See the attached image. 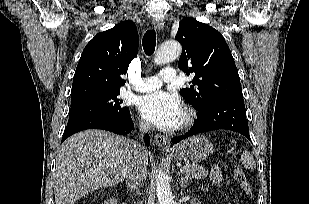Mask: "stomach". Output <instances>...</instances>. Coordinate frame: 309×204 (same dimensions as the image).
I'll return each instance as SVG.
<instances>
[{"instance_id": "stomach-1", "label": "stomach", "mask_w": 309, "mask_h": 204, "mask_svg": "<svg viewBox=\"0 0 309 204\" xmlns=\"http://www.w3.org/2000/svg\"><path fill=\"white\" fill-rule=\"evenodd\" d=\"M169 152L176 159L194 163L206 159L213 152V144L205 136L196 135L182 141Z\"/></svg>"}]
</instances>
